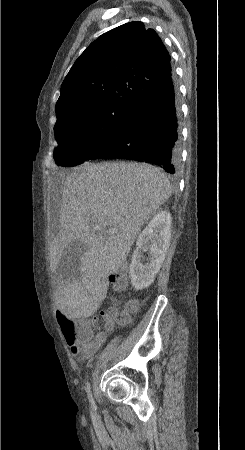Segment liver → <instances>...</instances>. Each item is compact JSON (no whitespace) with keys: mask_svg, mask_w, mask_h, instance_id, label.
I'll return each instance as SVG.
<instances>
[{"mask_svg":"<svg viewBox=\"0 0 245 450\" xmlns=\"http://www.w3.org/2000/svg\"><path fill=\"white\" fill-rule=\"evenodd\" d=\"M171 195L168 178L145 163H86L66 176L59 221L61 230L50 247L56 271L66 247L86 245L80 279L57 284V308L69 318L88 317L106 298L107 277L126 261L141 227ZM93 224L103 228L96 232ZM117 228L110 235L106 231Z\"/></svg>","mask_w":245,"mask_h":450,"instance_id":"liver-1","label":"liver"}]
</instances>
